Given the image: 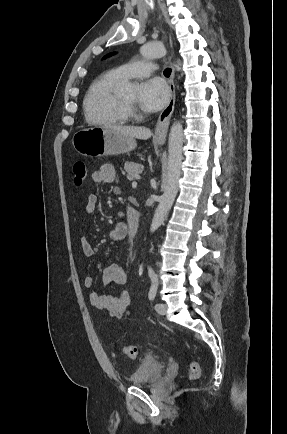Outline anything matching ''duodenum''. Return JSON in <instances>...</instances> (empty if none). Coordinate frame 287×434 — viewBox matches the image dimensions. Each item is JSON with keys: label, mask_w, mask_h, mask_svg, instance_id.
<instances>
[{"label": "duodenum", "mask_w": 287, "mask_h": 434, "mask_svg": "<svg viewBox=\"0 0 287 434\" xmlns=\"http://www.w3.org/2000/svg\"><path fill=\"white\" fill-rule=\"evenodd\" d=\"M139 223H140L139 212L136 209L129 207L127 210L126 226H127V234L131 238L135 237V235L137 234Z\"/></svg>", "instance_id": "410a0bca"}]
</instances>
